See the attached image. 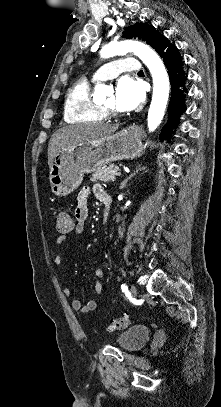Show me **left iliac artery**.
Listing matches in <instances>:
<instances>
[{"instance_id": "obj_1", "label": "left iliac artery", "mask_w": 221, "mask_h": 407, "mask_svg": "<svg viewBox=\"0 0 221 407\" xmlns=\"http://www.w3.org/2000/svg\"><path fill=\"white\" fill-rule=\"evenodd\" d=\"M121 289L123 292H125L128 290V287L126 285H121Z\"/></svg>"}]
</instances>
